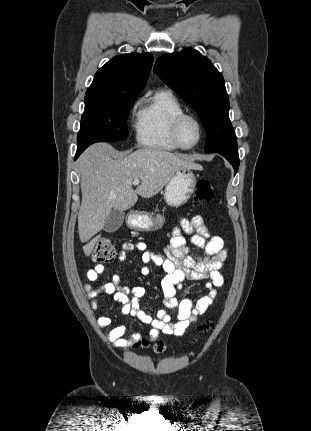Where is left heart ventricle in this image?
<instances>
[{"label": "left heart ventricle", "instance_id": "b2bd125f", "mask_svg": "<svg viewBox=\"0 0 311 431\" xmlns=\"http://www.w3.org/2000/svg\"><path fill=\"white\" fill-rule=\"evenodd\" d=\"M200 133L201 131L199 124L194 118L189 117L182 122L180 134L184 144H194L198 140Z\"/></svg>", "mask_w": 311, "mask_h": 431}]
</instances>
